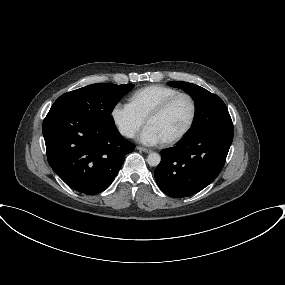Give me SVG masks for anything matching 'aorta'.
<instances>
[{
  "label": "aorta",
  "mask_w": 285,
  "mask_h": 285,
  "mask_svg": "<svg viewBox=\"0 0 285 285\" xmlns=\"http://www.w3.org/2000/svg\"><path fill=\"white\" fill-rule=\"evenodd\" d=\"M161 161V157L158 153H150L148 156H147V162L150 166H157L159 165Z\"/></svg>",
  "instance_id": "aorta-1"
}]
</instances>
